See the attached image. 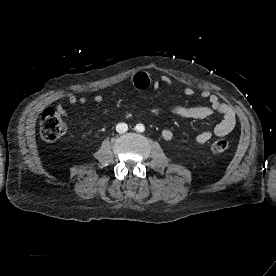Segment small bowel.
Returning <instances> with one entry per match:
<instances>
[{
	"mask_svg": "<svg viewBox=\"0 0 276 276\" xmlns=\"http://www.w3.org/2000/svg\"><path fill=\"white\" fill-rule=\"evenodd\" d=\"M161 83L167 86H171L173 84V79L168 75H163L158 78L150 72L140 71L133 76L131 81L132 86L138 90H145L149 87H158ZM183 93L185 96H193L195 94V90L192 87H186ZM201 97L204 99H208L210 105L193 107L184 105H172L170 107V111L178 117L193 120L207 118L215 112L221 114L223 118L214 127L213 132L204 131L196 135V142L204 144L211 139L213 134L222 137L232 132L236 125V114L231 106L221 102L219 98L216 95L212 94L209 90L202 91ZM102 100V95H96L94 97V101L97 103L101 102ZM64 102H68L70 104H85L87 102V99L85 97H77L73 93L66 94L56 105V109L61 115H66ZM162 137L164 140L167 141L172 140L173 132L170 129H164L162 131Z\"/></svg>",
	"mask_w": 276,
	"mask_h": 276,
	"instance_id": "1",
	"label": "small bowel"
}]
</instances>
